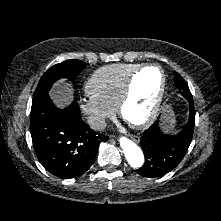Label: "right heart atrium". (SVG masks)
I'll use <instances>...</instances> for the list:
<instances>
[{
    "instance_id": "right-heart-atrium-1",
    "label": "right heart atrium",
    "mask_w": 221,
    "mask_h": 221,
    "mask_svg": "<svg viewBox=\"0 0 221 221\" xmlns=\"http://www.w3.org/2000/svg\"><path fill=\"white\" fill-rule=\"evenodd\" d=\"M80 111L86 116L88 124L95 130H102L114 110L90 97L79 103Z\"/></svg>"
}]
</instances>
